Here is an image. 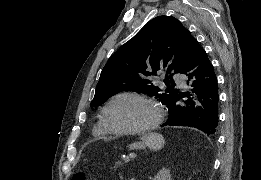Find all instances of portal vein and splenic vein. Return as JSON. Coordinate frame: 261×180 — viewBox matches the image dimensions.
<instances>
[{
	"label": "portal vein and splenic vein",
	"instance_id": "obj_1",
	"mask_svg": "<svg viewBox=\"0 0 261 180\" xmlns=\"http://www.w3.org/2000/svg\"><path fill=\"white\" fill-rule=\"evenodd\" d=\"M130 155H135V154H129V158H124L123 159L124 163H132V160H130Z\"/></svg>",
	"mask_w": 261,
	"mask_h": 180
}]
</instances>
